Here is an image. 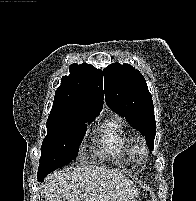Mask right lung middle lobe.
<instances>
[{
    "label": "right lung middle lobe",
    "instance_id": "dd1d6c3e",
    "mask_svg": "<svg viewBox=\"0 0 196 201\" xmlns=\"http://www.w3.org/2000/svg\"><path fill=\"white\" fill-rule=\"evenodd\" d=\"M96 116L69 112L47 120V135L41 146L37 178L43 179L52 171L65 166L76 158L86 133V122Z\"/></svg>",
    "mask_w": 196,
    "mask_h": 201
}]
</instances>
